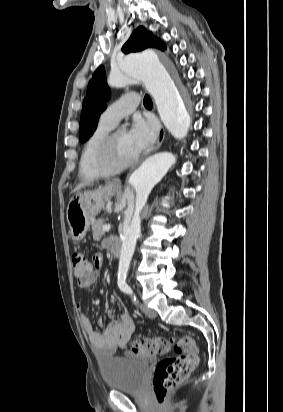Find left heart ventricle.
Wrapping results in <instances>:
<instances>
[{"mask_svg":"<svg viewBox=\"0 0 283 412\" xmlns=\"http://www.w3.org/2000/svg\"><path fill=\"white\" fill-rule=\"evenodd\" d=\"M137 154L133 148L128 132L122 130L117 135L116 139V157L120 162H127L133 159Z\"/></svg>","mask_w":283,"mask_h":412,"instance_id":"left-heart-ventricle-1","label":"left heart ventricle"}]
</instances>
